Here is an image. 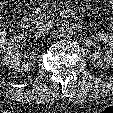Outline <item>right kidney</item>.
I'll return each mask as SVG.
<instances>
[{"instance_id": "right-kidney-1", "label": "right kidney", "mask_w": 113, "mask_h": 113, "mask_svg": "<svg viewBox=\"0 0 113 113\" xmlns=\"http://www.w3.org/2000/svg\"><path fill=\"white\" fill-rule=\"evenodd\" d=\"M26 41L22 35H16L10 41L6 54L4 56V64L18 72L29 71L34 64L37 62V57L34 53L30 55H25V60H21V53L18 50V45Z\"/></svg>"}]
</instances>
